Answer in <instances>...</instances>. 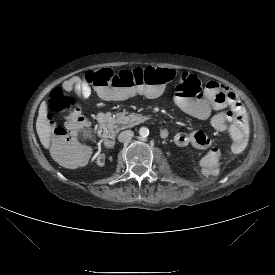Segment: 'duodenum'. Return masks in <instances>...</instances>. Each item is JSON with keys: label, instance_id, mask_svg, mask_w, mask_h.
<instances>
[{"label": "duodenum", "instance_id": "1", "mask_svg": "<svg viewBox=\"0 0 275 275\" xmlns=\"http://www.w3.org/2000/svg\"><path fill=\"white\" fill-rule=\"evenodd\" d=\"M101 122V135L104 140V144L107 148H112L115 144V128L114 121L111 117L106 115L100 116ZM167 132L161 131V136L166 137Z\"/></svg>", "mask_w": 275, "mask_h": 275}]
</instances>
